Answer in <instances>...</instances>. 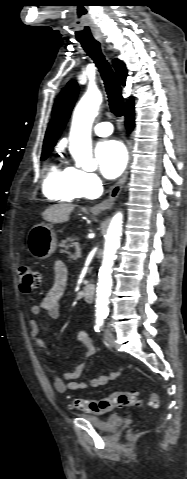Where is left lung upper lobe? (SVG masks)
I'll return each mask as SVG.
<instances>
[{"label":"left lung upper lobe","mask_w":187,"mask_h":479,"mask_svg":"<svg viewBox=\"0 0 187 479\" xmlns=\"http://www.w3.org/2000/svg\"><path fill=\"white\" fill-rule=\"evenodd\" d=\"M57 104H58V101L56 102V104H55V106H54V109H53V111H55V110H56Z\"/></svg>","instance_id":"1"}]
</instances>
